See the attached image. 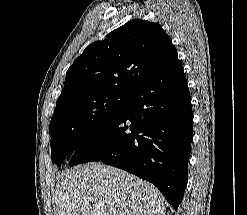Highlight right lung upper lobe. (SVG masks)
<instances>
[{
  "mask_svg": "<svg viewBox=\"0 0 247 215\" xmlns=\"http://www.w3.org/2000/svg\"><path fill=\"white\" fill-rule=\"evenodd\" d=\"M176 51L158 23L135 19L89 45L68 69L56 108L98 93L132 94Z\"/></svg>",
  "mask_w": 247,
  "mask_h": 215,
  "instance_id": "obj_1",
  "label": "right lung upper lobe"
}]
</instances>
